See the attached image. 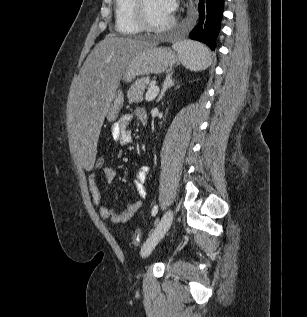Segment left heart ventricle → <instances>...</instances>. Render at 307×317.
<instances>
[{
    "mask_svg": "<svg viewBox=\"0 0 307 317\" xmlns=\"http://www.w3.org/2000/svg\"><path fill=\"white\" fill-rule=\"evenodd\" d=\"M146 14L149 22L155 26L167 23L173 16L164 0H146Z\"/></svg>",
    "mask_w": 307,
    "mask_h": 317,
    "instance_id": "1",
    "label": "left heart ventricle"
}]
</instances>
